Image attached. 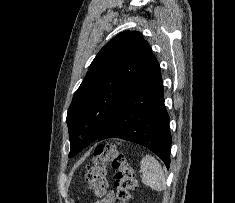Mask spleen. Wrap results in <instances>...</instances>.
I'll list each match as a JSON object with an SVG mask.
<instances>
[{
    "instance_id": "spleen-1",
    "label": "spleen",
    "mask_w": 235,
    "mask_h": 203,
    "mask_svg": "<svg viewBox=\"0 0 235 203\" xmlns=\"http://www.w3.org/2000/svg\"><path fill=\"white\" fill-rule=\"evenodd\" d=\"M140 168L143 173V184L150 186L152 189L162 191L166 186L164 171L160 163L151 155L142 158Z\"/></svg>"
}]
</instances>
